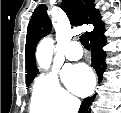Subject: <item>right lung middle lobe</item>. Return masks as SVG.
Wrapping results in <instances>:
<instances>
[{"label": "right lung middle lobe", "instance_id": "1", "mask_svg": "<svg viewBox=\"0 0 121 113\" xmlns=\"http://www.w3.org/2000/svg\"><path fill=\"white\" fill-rule=\"evenodd\" d=\"M35 75H36V74L27 76V85L30 84V83L33 81Z\"/></svg>", "mask_w": 121, "mask_h": 113}]
</instances>
